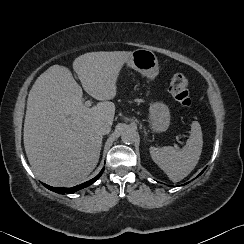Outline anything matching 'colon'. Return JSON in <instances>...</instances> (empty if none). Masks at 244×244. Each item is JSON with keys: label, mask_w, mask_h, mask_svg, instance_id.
<instances>
[{"label": "colon", "mask_w": 244, "mask_h": 244, "mask_svg": "<svg viewBox=\"0 0 244 244\" xmlns=\"http://www.w3.org/2000/svg\"><path fill=\"white\" fill-rule=\"evenodd\" d=\"M169 92L180 105L184 107L191 106L192 98L189 92V79L183 73H176L171 78Z\"/></svg>", "instance_id": "obj_1"}]
</instances>
